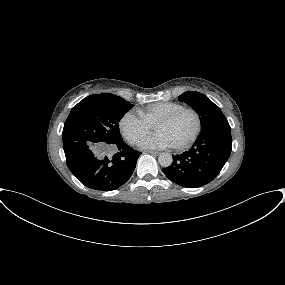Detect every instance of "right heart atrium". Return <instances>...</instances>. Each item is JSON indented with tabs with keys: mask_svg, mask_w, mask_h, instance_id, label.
<instances>
[{
	"mask_svg": "<svg viewBox=\"0 0 285 285\" xmlns=\"http://www.w3.org/2000/svg\"><path fill=\"white\" fill-rule=\"evenodd\" d=\"M120 130L126 140L131 144H137L149 134L152 126L139 114V112L128 111L120 120Z\"/></svg>",
	"mask_w": 285,
	"mask_h": 285,
	"instance_id": "1",
	"label": "right heart atrium"
}]
</instances>
